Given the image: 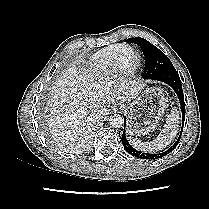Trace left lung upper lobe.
Returning <instances> with one entry per match:
<instances>
[{"instance_id":"left-lung-upper-lobe-1","label":"left lung upper lobe","mask_w":209,"mask_h":209,"mask_svg":"<svg viewBox=\"0 0 209 209\" xmlns=\"http://www.w3.org/2000/svg\"><path fill=\"white\" fill-rule=\"evenodd\" d=\"M126 42H131L141 46V49L146 58L145 79H152L154 76L162 72L175 70L169 58L160 49L151 44L149 41L143 38L135 37L127 39Z\"/></svg>"}]
</instances>
